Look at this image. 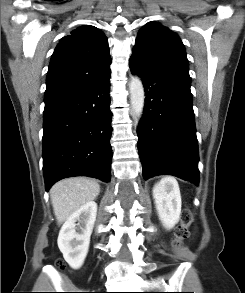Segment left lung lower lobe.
I'll use <instances>...</instances> for the list:
<instances>
[{
    "mask_svg": "<svg viewBox=\"0 0 245 293\" xmlns=\"http://www.w3.org/2000/svg\"><path fill=\"white\" fill-rule=\"evenodd\" d=\"M130 69L143 81L145 106L138 151L147 180L174 175L199 183L198 144L190 82L131 56Z\"/></svg>",
    "mask_w": 245,
    "mask_h": 293,
    "instance_id": "left-lung-lower-lobe-1",
    "label": "left lung lower lobe"
}]
</instances>
